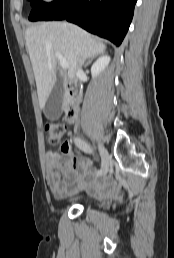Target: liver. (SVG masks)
Here are the masks:
<instances>
[{
  "label": "liver",
  "instance_id": "1",
  "mask_svg": "<svg viewBox=\"0 0 174 258\" xmlns=\"http://www.w3.org/2000/svg\"><path fill=\"white\" fill-rule=\"evenodd\" d=\"M25 40L36 80L40 108L43 109L57 81L60 54L68 63L67 77L74 80L80 60L102 53L106 46L80 27L70 23L47 22L29 27Z\"/></svg>",
  "mask_w": 174,
  "mask_h": 258
}]
</instances>
